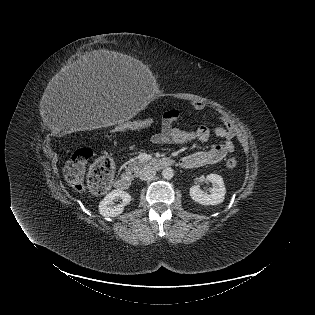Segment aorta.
<instances>
[{"label":"aorta","mask_w":315,"mask_h":315,"mask_svg":"<svg viewBox=\"0 0 315 315\" xmlns=\"http://www.w3.org/2000/svg\"><path fill=\"white\" fill-rule=\"evenodd\" d=\"M162 176H163V178L170 180L174 176L173 169L170 167L164 168L162 171Z\"/></svg>","instance_id":"obj_1"}]
</instances>
